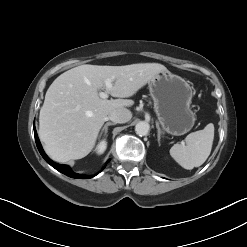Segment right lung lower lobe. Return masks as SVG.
I'll return each mask as SVG.
<instances>
[{
    "mask_svg": "<svg viewBox=\"0 0 247 247\" xmlns=\"http://www.w3.org/2000/svg\"><path fill=\"white\" fill-rule=\"evenodd\" d=\"M34 135H35L36 145H37V148H38L40 154L45 159V161L47 163H49L52 167H54L56 170H58L59 172L65 174V175H67L69 177H72V178L88 179V178H92V177L95 176V175L84 176V175H81V174H77V173L73 172L69 166L61 165V164H57V163L53 162L51 159L48 158V156L43 151L42 146H41V144L39 142V139L37 137V133H36L35 127H34Z\"/></svg>",
    "mask_w": 247,
    "mask_h": 247,
    "instance_id": "98d812e1",
    "label": "right lung lower lobe"
}]
</instances>
